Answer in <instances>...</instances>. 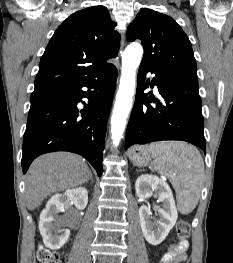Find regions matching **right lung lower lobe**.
<instances>
[{"label":"right lung lower lobe","mask_w":233,"mask_h":263,"mask_svg":"<svg viewBox=\"0 0 233 263\" xmlns=\"http://www.w3.org/2000/svg\"><path fill=\"white\" fill-rule=\"evenodd\" d=\"M117 70L108 64L95 76L75 83L34 91L23 137L25 174L39 155L70 151L83 156L102 174L107 119L116 86ZM87 87L89 90H82ZM89 103L78 105L82 98Z\"/></svg>","instance_id":"1"}]
</instances>
